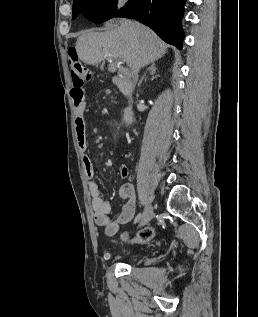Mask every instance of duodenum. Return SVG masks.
Listing matches in <instances>:
<instances>
[{
    "mask_svg": "<svg viewBox=\"0 0 258 317\" xmlns=\"http://www.w3.org/2000/svg\"><path fill=\"white\" fill-rule=\"evenodd\" d=\"M71 98H72L73 104L77 108L82 107L85 101L84 89L79 85H74L73 89L71 90Z\"/></svg>",
    "mask_w": 258,
    "mask_h": 317,
    "instance_id": "duodenum-1",
    "label": "duodenum"
}]
</instances>
